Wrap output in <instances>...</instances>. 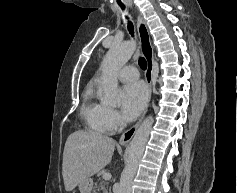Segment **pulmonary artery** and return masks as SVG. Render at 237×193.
<instances>
[{
    "instance_id": "e3ab8cb5",
    "label": "pulmonary artery",
    "mask_w": 237,
    "mask_h": 193,
    "mask_svg": "<svg viewBox=\"0 0 237 193\" xmlns=\"http://www.w3.org/2000/svg\"><path fill=\"white\" fill-rule=\"evenodd\" d=\"M139 77V72L134 66H125L118 72V78L122 82L132 83Z\"/></svg>"
}]
</instances>
